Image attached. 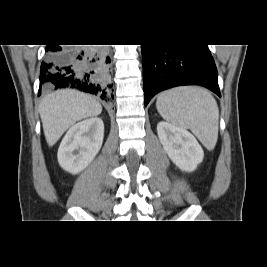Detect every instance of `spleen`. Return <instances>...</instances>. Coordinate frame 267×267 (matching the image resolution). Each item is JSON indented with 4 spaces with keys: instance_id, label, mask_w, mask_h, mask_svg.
Wrapping results in <instances>:
<instances>
[{
    "instance_id": "obj_1",
    "label": "spleen",
    "mask_w": 267,
    "mask_h": 267,
    "mask_svg": "<svg viewBox=\"0 0 267 267\" xmlns=\"http://www.w3.org/2000/svg\"><path fill=\"white\" fill-rule=\"evenodd\" d=\"M156 108L166 121L190 129L208 150L214 149L218 139L219 109L206 89L189 86L164 91L157 97Z\"/></svg>"
}]
</instances>
